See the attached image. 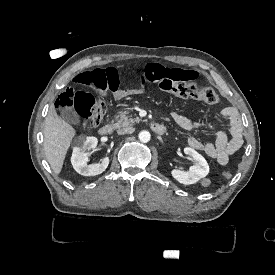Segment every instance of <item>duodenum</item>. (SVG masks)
<instances>
[{
    "instance_id": "1",
    "label": "duodenum",
    "mask_w": 275,
    "mask_h": 275,
    "mask_svg": "<svg viewBox=\"0 0 275 275\" xmlns=\"http://www.w3.org/2000/svg\"><path fill=\"white\" fill-rule=\"evenodd\" d=\"M150 128H151L152 132H154L155 134H158V135H162L166 132L165 126L158 122L152 123ZM113 129H114V127L111 123H106L98 129V134H100L102 136H107L113 132Z\"/></svg>"
}]
</instances>
